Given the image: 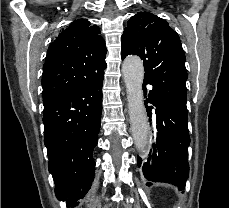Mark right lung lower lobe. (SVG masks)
<instances>
[{
  "label": "right lung lower lobe",
  "mask_w": 229,
  "mask_h": 208,
  "mask_svg": "<svg viewBox=\"0 0 229 208\" xmlns=\"http://www.w3.org/2000/svg\"><path fill=\"white\" fill-rule=\"evenodd\" d=\"M104 71L44 105V143L59 200L74 205L94 178L92 153L102 111Z\"/></svg>",
  "instance_id": "obj_1"
}]
</instances>
